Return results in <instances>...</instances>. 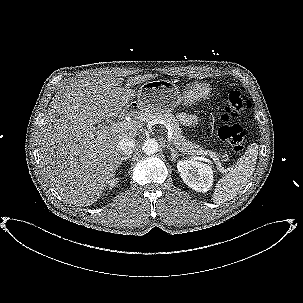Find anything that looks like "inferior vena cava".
Segmentation results:
<instances>
[{
	"mask_svg": "<svg viewBox=\"0 0 303 303\" xmlns=\"http://www.w3.org/2000/svg\"><path fill=\"white\" fill-rule=\"evenodd\" d=\"M135 147V140L132 137L125 136L119 141V149L122 154H132Z\"/></svg>",
	"mask_w": 303,
	"mask_h": 303,
	"instance_id": "602c4592",
	"label": "inferior vena cava"
}]
</instances>
